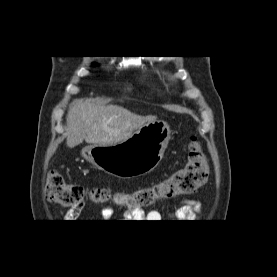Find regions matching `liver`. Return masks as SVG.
Segmentation results:
<instances>
[{"instance_id": "obj_1", "label": "liver", "mask_w": 277, "mask_h": 277, "mask_svg": "<svg viewBox=\"0 0 277 277\" xmlns=\"http://www.w3.org/2000/svg\"><path fill=\"white\" fill-rule=\"evenodd\" d=\"M156 116H139L116 105H101L92 100L74 101L67 113L66 144L73 148L84 140L93 145H113L127 140Z\"/></svg>"}]
</instances>
